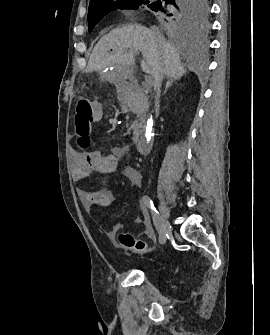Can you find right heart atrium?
Segmentation results:
<instances>
[{
	"instance_id": "1",
	"label": "right heart atrium",
	"mask_w": 270,
	"mask_h": 335,
	"mask_svg": "<svg viewBox=\"0 0 270 335\" xmlns=\"http://www.w3.org/2000/svg\"><path fill=\"white\" fill-rule=\"evenodd\" d=\"M129 18H132V14L130 12L126 13Z\"/></svg>"
}]
</instances>
